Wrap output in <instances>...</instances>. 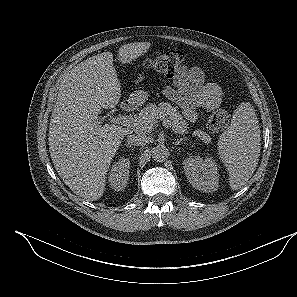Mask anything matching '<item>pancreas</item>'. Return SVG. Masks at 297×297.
Here are the masks:
<instances>
[{"instance_id":"obj_1","label":"pancreas","mask_w":297,"mask_h":297,"mask_svg":"<svg viewBox=\"0 0 297 297\" xmlns=\"http://www.w3.org/2000/svg\"><path fill=\"white\" fill-rule=\"evenodd\" d=\"M137 119L142 123L139 130L145 133H150L153 127L157 126L159 120L166 123L168 127H171L176 134L182 135L188 133V122L170 104L159 103L155 105L149 103L140 111ZM193 136L200 138L204 142H209L210 139L209 135L200 129L193 131Z\"/></svg>"}]
</instances>
